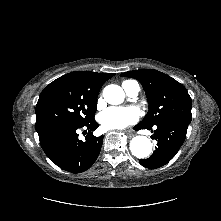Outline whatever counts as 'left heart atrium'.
I'll use <instances>...</instances> for the list:
<instances>
[{"label": "left heart atrium", "mask_w": 221, "mask_h": 221, "mask_svg": "<svg viewBox=\"0 0 221 221\" xmlns=\"http://www.w3.org/2000/svg\"><path fill=\"white\" fill-rule=\"evenodd\" d=\"M138 112L133 107H109L99 117L107 129H122L138 120Z\"/></svg>", "instance_id": "obj_1"}]
</instances>
